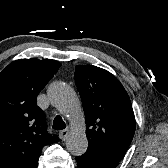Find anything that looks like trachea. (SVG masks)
<instances>
[{"mask_svg": "<svg viewBox=\"0 0 168 168\" xmlns=\"http://www.w3.org/2000/svg\"><path fill=\"white\" fill-rule=\"evenodd\" d=\"M66 127L63 119L60 116H56L53 121V128L55 130H62Z\"/></svg>", "mask_w": 168, "mask_h": 168, "instance_id": "obj_1", "label": "trachea"}]
</instances>
